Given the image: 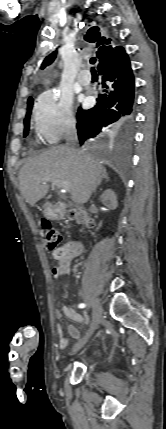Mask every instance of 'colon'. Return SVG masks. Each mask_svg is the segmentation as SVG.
Here are the masks:
<instances>
[{"label":"colon","instance_id":"obj_1","mask_svg":"<svg viewBox=\"0 0 166 429\" xmlns=\"http://www.w3.org/2000/svg\"><path fill=\"white\" fill-rule=\"evenodd\" d=\"M68 217L70 218H83L82 213H77L75 211H70L68 213ZM41 231L44 237V243L45 247L48 251L53 252L57 248H59V245L62 241V236L60 233L54 229L52 224L46 220L43 219L41 221Z\"/></svg>","mask_w":166,"mask_h":429}]
</instances>
